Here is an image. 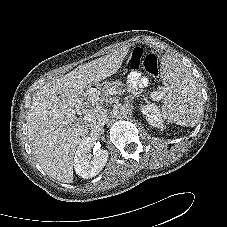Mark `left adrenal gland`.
<instances>
[{"instance_id": "left-adrenal-gland-1", "label": "left adrenal gland", "mask_w": 227, "mask_h": 227, "mask_svg": "<svg viewBox=\"0 0 227 227\" xmlns=\"http://www.w3.org/2000/svg\"><path fill=\"white\" fill-rule=\"evenodd\" d=\"M137 94H135L134 96H136ZM134 96H127L125 97V100L128 102V100H133Z\"/></svg>"}]
</instances>
